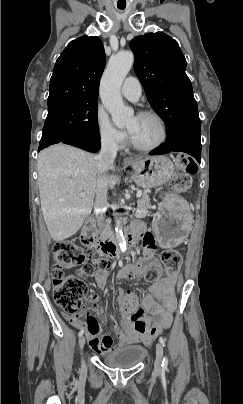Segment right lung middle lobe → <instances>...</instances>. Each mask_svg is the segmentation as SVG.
<instances>
[{"label":"right lung middle lobe","mask_w":243,"mask_h":404,"mask_svg":"<svg viewBox=\"0 0 243 404\" xmlns=\"http://www.w3.org/2000/svg\"><path fill=\"white\" fill-rule=\"evenodd\" d=\"M97 100H70L48 105L39 150L62 141L69 135L100 138Z\"/></svg>","instance_id":"right-lung-middle-lobe-1"}]
</instances>
